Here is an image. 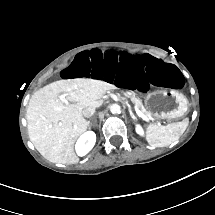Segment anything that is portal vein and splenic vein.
<instances>
[{
    "instance_id": "18ae733b",
    "label": "portal vein and splenic vein",
    "mask_w": 215,
    "mask_h": 215,
    "mask_svg": "<svg viewBox=\"0 0 215 215\" xmlns=\"http://www.w3.org/2000/svg\"><path fill=\"white\" fill-rule=\"evenodd\" d=\"M58 99L66 105L69 104V102L65 99V94L58 96ZM134 110L139 117L143 118L145 121L149 120L148 116L141 112L137 106H134Z\"/></svg>"
}]
</instances>
